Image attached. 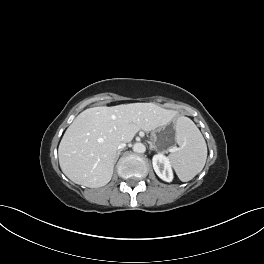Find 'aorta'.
Segmentation results:
<instances>
[{
	"label": "aorta",
	"instance_id": "762f6f07",
	"mask_svg": "<svg viewBox=\"0 0 264 264\" xmlns=\"http://www.w3.org/2000/svg\"><path fill=\"white\" fill-rule=\"evenodd\" d=\"M133 151L136 153H144L146 150V147L142 143H135L132 147Z\"/></svg>",
	"mask_w": 264,
	"mask_h": 264
}]
</instances>
